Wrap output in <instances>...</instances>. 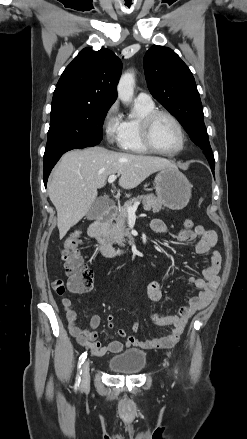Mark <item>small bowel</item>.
<instances>
[{
  "label": "small bowel",
  "instance_id": "c3829d8e",
  "mask_svg": "<svg viewBox=\"0 0 247 439\" xmlns=\"http://www.w3.org/2000/svg\"><path fill=\"white\" fill-rule=\"evenodd\" d=\"M151 229L159 234H167L181 243H189L198 239L195 251L198 255L210 254V265L203 270V277H190L189 284L195 286L200 292L192 297L189 303L182 307L177 315L160 316L157 313L152 314L151 320L157 326H173L171 333L167 336L155 337L145 341L138 340L133 335H127L125 329H118L120 337L124 341L114 339L111 334H106L110 340L108 344H102L98 341L97 328L101 323V319L97 314H91L89 327L82 328L77 324V314L73 307L72 301L65 296L66 290H70V283H64L62 280H56L52 283L53 290L61 298L64 308L68 328L72 336L77 342L88 349L93 356H104L107 353H120L128 347H139L143 349H164L173 347L179 341L184 329L190 318L200 309L207 306L213 298L214 292L219 284V271L221 269L222 257L218 251H212L217 244V234L203 225H198L194 230L183 229L173 233L169 230L164 221L153 219L151 221ZM148 297L151 301L158 302L162 298L161 286L157 281H152L147 286ZM106 324L109 328L115 326L114 316L108 315ZM139 330V320L136 318L132 325L133 333Z\"/></svg>",
  "mask_w": 247,
  "mask_h": 439
}]
</instances>
